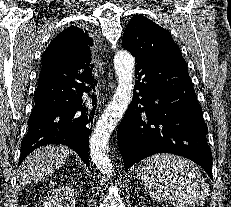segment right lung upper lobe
<instances>
[{
	"mask_svg": "<svg viewBox=\"0 0 231 207\" xmlns=\"http://www.w3.org/2000/svg\"><path fill=\"white\" fill-rule=\"evenodd\" d=\"M92 45L93 39L86 30L71 26L50 42L43 53L42 65L70 66V70L77 72L81 69L78 63L86 64L90 58Z\"/></svg>",
	"mask_w": 231,
	"mask_h": 207,
	"instance_id": "obj_1",
	"label": "right lung upper lobe"
}]
</instances>
